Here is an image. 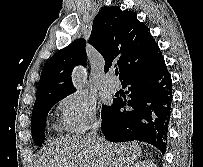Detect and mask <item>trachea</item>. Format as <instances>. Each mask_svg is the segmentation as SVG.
<instances>
[{
	"mask_svg": "<svg viewBox=\"0 0 203 167\" xmlns=\"http://www.w3.org/2000/svg\"><path fill=\"white\" fill-rule=\"evenodd\" d=\"M115 75L118 76V71H115Z\"/></svg>",
	"mask_w": 203,
	"mask_h": 167,
	"instance_id": "obj_1",
	"label": "trachea"
}]
</instances>
